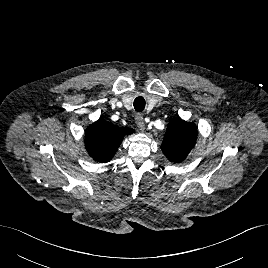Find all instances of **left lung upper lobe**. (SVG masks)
<instances>
[{"instance_id":"5c2ea615","label":"left lung upper lobe","mask_w":268,"mask_h":268,"mask_svg":"<svg viewBox=\"0 0 268 268\" xmlns=\"http://www.w3.org/2000/svg\"><path fill=\"white\" fill-rule=\"evenodd\" d=\"M197 128L194 123L174 119L168 126L164 135L161 149L172 162L186 159L197 139Z\"/></svg>"}]
</instances>
